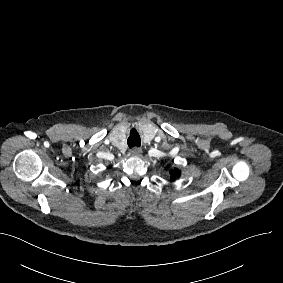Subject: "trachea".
Segmentation results:
<instances>
[{"mask_svg":"<svg viewBox=\"0 0 283 283\" xmlns=\"http://www.w3.org/2000/svg\"><path fill=\"white\" fill-rule=\"evenodd\" d=\"M127 144L129 148L141 145L140 135L135 128H132L130 130V136L128 137Z\"/></svg>","mask_w":283,"mask_h":283,"instance_id":"trachea-1","label":"trachea"}]
</instances>
